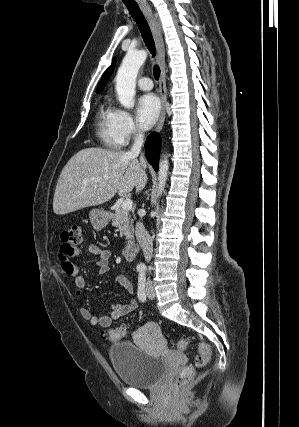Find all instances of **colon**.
Listing matches in <instances>:
<instances>
[{
  "instance_id": "1",
  "label": "colon",
  "mask_w": 299,
  "mask_h": 427,
  "mask_svg": "<svg viewBox=\"0 0 299 427\" xmlns=\"http://www.w3.org/2000/svg\"><path fill=\"white\" fill-rule=\"evenodd\" d=\"M62 240L70 245L77 246L81 242V227L72 226L62 233ZM103 336L110 338L114 341H120L127 336V331L125 328H112L108 331L102 333ZM189 346V339H181L176 348L179 351H185ZM198 354L195 358V366L198 368L205 367L211 359V348L206 343H198L196 345ZM194 376V368L192 366H185L179 372L176 377L174 386L177 391L183 392L188 384L191 382Z\"/></svg>"
}]
</instances>
